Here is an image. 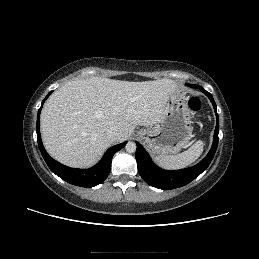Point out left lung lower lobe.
Segmentation results:
<instances>
[{
    "mask_svg": "<svg viewBox=\"0 0 259 259\" xmlns=\"http://www.w3.org/2000/svg\"><path fill=\"white\" fill-rule=\"evenodd\" d=\"M194 87L200 88V90L210 99L215 110L216 128L214 131L212 147L207 156L197 165L182 170L167 171L155 165V163L152 161V159L150 158L146 150L143 148V146L140 143L136 142L137 150L135 157L137 160V167L139 173L147 184L155 188L162 190H170L188 184L207 169L215 155L218 146L219 133V116L217 114L216 104L212 95L209 92H207L200 86Z\"/></svg>",
    "mask_w": 259,
    "mask_h": 259,
    "instance_id": "0a47b994",
    "label": "left lung lower lobe"
}]
</instances>
